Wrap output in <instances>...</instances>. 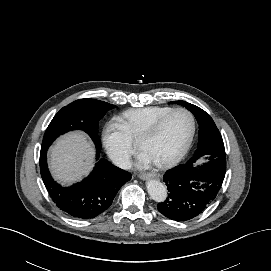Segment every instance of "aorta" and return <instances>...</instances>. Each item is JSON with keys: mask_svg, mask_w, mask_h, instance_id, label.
<instances>
[{"mask_svg": "<svg viewBox=\"0 0 271 271\" xmlns=\"http://www.w3.org/2000/svg\"><path fill=\"white\" fill-rule=\"evenodd\" d=\"M148 194L156 202H164L167 198L166 186L158 180L151 179L146 184Z\"/></svg>", "mask_w": 271, "mask_h": 271, "instance_id": "1", "label": "aorta"}]
</instances>
